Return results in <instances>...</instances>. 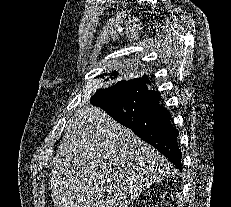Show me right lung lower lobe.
<instances>
[{
  "label": "right lung lower lobe",
  "mask_w": 231,
  "mask_h": 207,
  "mask_svg": "<svg viewBox=\"0 0 231 207\" xmlns=\"http://www.w3.org/2000/svg\"><path fill=\"white\" fill-rule=\"evenodd\" d=\"M149 79L126 81L116 93L100 99L96 93L91 101L122 125L161 152L181 170L182 153L177 144L178 131L171 125L168 110L159 105L160 93L151 90Z\"/></svg>",
  "instance_id": "right-lung-lower-lobe-1"
}]
</instances>
